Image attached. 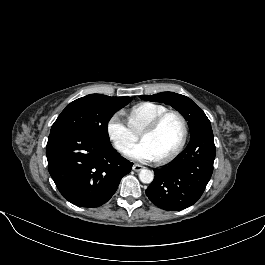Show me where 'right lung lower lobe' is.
<instances>
[{"label":"right lung lower lobe","instance_id":"right-lung-lower-lobe-1","mask_svg":"<svg viewBox=\"0 0 265 265\" xmlns=\"http://www.w3.org/2000/svg\"><path fill=\"white\" fill-rule=\"evenodd\" d=\"M46 156L58 190L80 207L106 203L133 165L110 142L78 129L51 132Z\"/></svg>","mask_w":265,"mask_h":265}]
</instances>
